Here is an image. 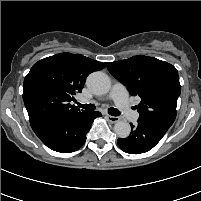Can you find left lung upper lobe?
I'll return each mask as SVG.
<instances>
[{"label": "left lung upper lobe", "instance_id": "left-lung-upper-lobe-1", "mask_svg": "<svg viewBox=\"0 0 201 201\" xmlns=\"http://www.w3.org/2000/svg\"><path fill=\"white\" fill-rule=\"evenodd\" d=\"M110 73L127 86L133 96H140L137 110L141 121H158L172 125L181 87L177 69L148 56L107 62Z\"/></svg>", "mask_w": 201, "mask_h": 201}]
</instances>
